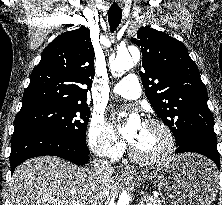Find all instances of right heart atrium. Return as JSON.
Instances as JSON below:
<instances>
[{"mask_svg": "<svg viewBox=\"0 0 222 205\" xmlns=\"http://www.w3.org/2000/svg\"><path fill=\"white\" fill-rule=\"evenodd\" d=\"M87 141L91 151L102 159L114 160L122 152V143L99 115H94L90 120Z\"/></svg>", "mask_w": 222, "mask_h": 205, "instance_id": "1", "label": "right heart atrium"}]
</instances>
